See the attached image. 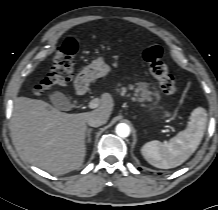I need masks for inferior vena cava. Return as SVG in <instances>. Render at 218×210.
<instances>
[{
	"label": "inferior vena cava",
	"mask_w": 218,
	"mask_h": 210,
	"mask_svg": "<svg viewBox=\"0 0 218 210\" xmlns=\"http://www.w3.org/2000/svg\"><path fill=\"white\" fill-rule=\"evenodd\" d=\"M106 122L107 121L103 117L96 114L91 115L87 120L88 125L92 127H99L105 124Z\"/></svg>",
	"instance_id": "inferior-vena-cava-1"
}]
</instances>
